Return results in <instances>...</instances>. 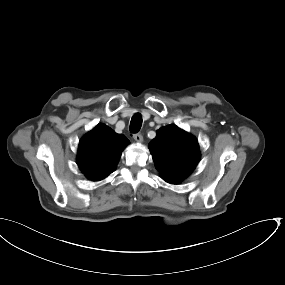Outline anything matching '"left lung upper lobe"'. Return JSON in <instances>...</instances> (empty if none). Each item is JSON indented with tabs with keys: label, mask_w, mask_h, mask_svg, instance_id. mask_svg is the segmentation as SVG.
Listing matches in <instances>:
<instances>
[{
	"label": "left lung upper lobe",
	"mask_w": 285,
	"mask_h": 285,
	"mask_svg": "<svg viewBox=\"0 0 285 285\" xmlns=\"http://www.w3.org/2000/svg\"><path fill=\"white\" fill-rule=\"evenodd\" d=\"M148 148L156 169L171 184H179L189 176L200 158L196 138L176 125L160 128Z\"/></svg>",
	"instance_id": "5c2ea615"
}]
</instances>
